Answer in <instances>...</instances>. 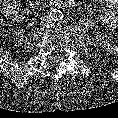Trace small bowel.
Wrapping results in <instances>:
<instances>
[{
	"mask_svg": "<svg viewBox=\"0 0 118 118\" xmlns=\"http://www.w3.org/2000/svg\"><path fill=\"white\" fill-rule=\"evenodd\" d=\"M102 16L105 27L112 30L118 26V0L103 1Z\"/></svg>",
	"mask_w": 118,
	"mask_h": 118,
	"instance_id": "small-bowel-1",
	"label": "small bowel"
}]
</instances>
